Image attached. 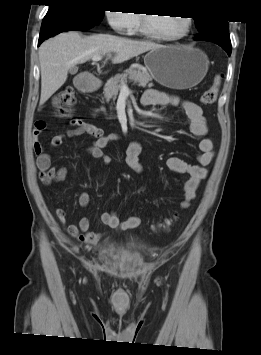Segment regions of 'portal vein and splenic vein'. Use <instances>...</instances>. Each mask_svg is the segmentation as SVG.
Returning <instances> with one entry per match:
<instances>
[{
	"label": "portal vein and splenic vein",
	"mask_w": 261,
	"mask_h": 355,
	"mask_svg": "<svg viewBox=\"0 0 261 355\" xmlns=\"http://www.w3.org/2000/svg\"><path fill=\"white\" fill-rule=\"evenodd\" d=\"M102 59V56L98 55V56H94L92 57V61H100ZM120 90L123 92L128 91V86L125 83H122L120 86Z\"/></svg>",
	"instance_id": "1"
}]
</instances>
